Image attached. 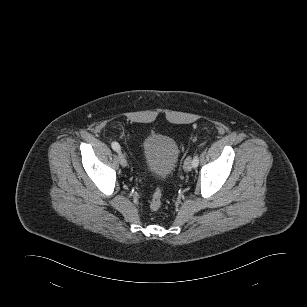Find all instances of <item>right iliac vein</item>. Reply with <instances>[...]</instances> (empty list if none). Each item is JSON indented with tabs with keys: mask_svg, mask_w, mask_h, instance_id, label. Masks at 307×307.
I'll return each mask as SVG.
<instances>
[{
	"mask_svg": "<svg viewBox=\"0 0 307 307\" xmlns=\"http://www.w3.org/2000/svg\"><path fill=\"white\" fill-rule=\"evenodd\" d=\"M118 157H119V163L121 164V166L126 167L128 163L126 156L123 153L119 152Z\"/></svg>",
	"mask_w": 307,
	"mask_h": 307,
	"instance_id": "1",
	"label": "right iliac vein"
}]
</instances>
